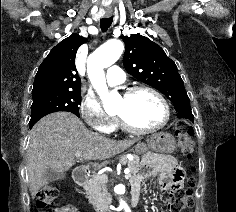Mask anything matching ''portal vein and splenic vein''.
I'll use <instances>...</instances> for the list:
<instances>
[{
	"mask_svg": "<svg viewBox=\"0 0 236 212\" xmlns=\"http://www.w3.org/2000/svg\"><path fill=\"white\" fill-rule=\"evenodd\" d=\"M76 157L77 158H81V153L80 152H76ZM125 173V178L126 179H129L130 178V171L129 169H126L124 171ZM94 177H96L97 179H100V180H104V181H107L108 177L106 175H94Z\"/></svg>",
	"mask_w": 236,
	"mask_h": 212,
	"instance_id": "1",
	"label": "portal vein and splenic vein"
}]
</instances>
